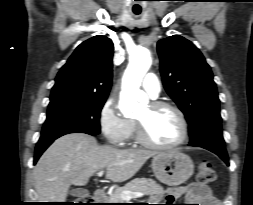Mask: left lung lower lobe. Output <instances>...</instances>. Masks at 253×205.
Segmentation results:
<instances>
[{"instance_id":"left-lung-lower-lobe-1","label":"left lung lower lobe","mask_w":253,"mask_h":205,"mask_svg":"<svg viewBox=\"0 0 253 205\" xmlns=\"http://www.w3.org/2000/svg\"><path fill=\"white\" fill-rule=\"evenodd\" d=\"M198 147H202L204 149H207L216 155H218L227 165H229V159L228 155L226 152V149L224 146L220 145H215V144H205V145H200Z\"/></svg>"}]
</instances>
